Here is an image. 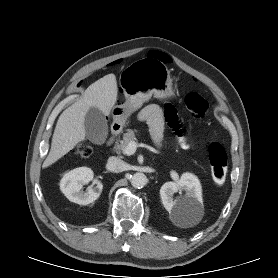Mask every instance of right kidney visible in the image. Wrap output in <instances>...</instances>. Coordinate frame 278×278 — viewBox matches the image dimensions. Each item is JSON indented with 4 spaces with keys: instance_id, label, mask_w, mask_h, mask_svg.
I'll return each mask as SVG.
<instances>
[{
    "instance_id": "1",
    "label": "right kidney",
    "mask_w": 278,
    "mask_h": 278,
    "mask_svg": "<svg viewBox=\"0 0 278 278\" xmlns=\"http://www.w3.org/2000/svg\"><path fill=\"white\" fill-rule=\"evenodd\" d=\"M94 173L90 168L79 167L66 173L60 181V189L69 201L88 205L94 202L100 196L103 185L97 182L95 186H91L87 191H81L82 186L92 181Z\"/></svg>"
}]
</instances>
